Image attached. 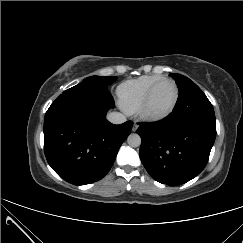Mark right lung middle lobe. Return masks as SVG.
<instances>
[{"label": "right lung middle lobe", "mask_w": 243, "mask_h": 243, "mask_svg": "<svg viewBox=\"0 0 243 243\" xmlns=\"http://www.w3.org/2000/svg\"><path fill=\"white\" fill-rule=\"evenodd\" d=\"M117 77L109 76V77H101V76H90L83 80L82 83L90 84L94 87L107 89L109 85H111Z\"/></svg>", "instance_id": "dd1d6c3e"}]
</instances>
